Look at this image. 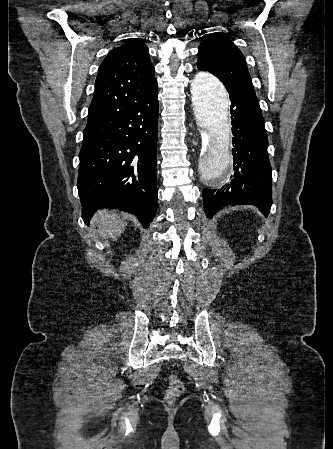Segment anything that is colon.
I'll return each mask as SVG.
<instances>
[{
	"label": "colon",
	"mask_w": 333,
	"mask_h": 449,
	"mask_svg": "<svg viewBox=\"0 0 333 449\" xmlns=\"http://www.w3.org/2000/svg\"><path fill=\"white\" fill-rule=\"evenodd\" d=\"M183 390L184 387L180 379L175 375H171L169 377V385L166 391L167 400L169 401L175 400L182 394Z\"/></svg>",
	"instance_id": "1"
}]
</instances>
